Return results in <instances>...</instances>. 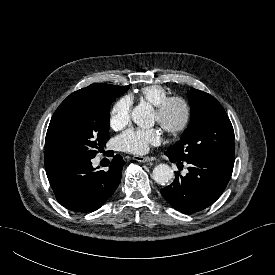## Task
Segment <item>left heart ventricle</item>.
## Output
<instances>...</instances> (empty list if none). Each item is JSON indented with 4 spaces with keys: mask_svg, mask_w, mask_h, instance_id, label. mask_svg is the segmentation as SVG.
Wrapping results in <instances>:
<instances>
[{
    "mask_svg": "<svg viewBox=\"0 0 275 275\" xmlns=\"http://www.w3.org/2000/svg\"><path fill=\"white\" fill-rule=\"evenodd\" d=\"M181 118V110L179 107H174L170 113V120L174 123L178 122ZM155 121H157V115H154Z\"/></svg>",
    "mask_w": 275,
    "mask_h": 275,
    "instance_id": "b2bd125f",
    "label": "left heart ventricle"
}]
</instances>
